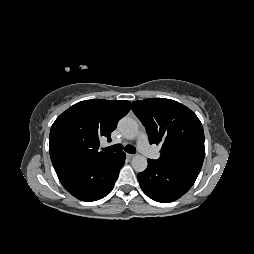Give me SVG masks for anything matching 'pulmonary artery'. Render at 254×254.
<instances>
[{"label": "pulmonary artery", "instance_id": "e3ab8cb5", "mask_svg": "<svg viewBox=\"0 0 254 254\" xmlns=\"http://www.w3.org/2000/svg\"><path fill=\"white\" fill-rule=\"evenodd\" d=\"M137 147L143 154L150 158L157 159L159 157V153L149 145L147 135L143 131L138 135Z\"/></svg>", "mask_w": 254, "mask_h": 254}]
</instances>
